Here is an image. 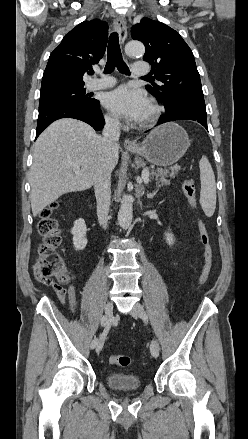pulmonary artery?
<instances>
[{"label":"pulmonary artery","instance_id":"obj_1","mask_svg":"<svg viewBox=\"0 0 248 439\" xmlns=\"http://www.w3.org/2000/svg\"><path fill=\"white\" fill-rule=\"evenodd\" d=\"M149 72L148 63L139 61L134 63L132 73L135 76H144ZM115 84V80L109 76H102L100 78L92 79L88 82L87 87L89 90H100L112 87Z\"/></svg>","mask_w":248,"mask_h":439}]
</instances>
